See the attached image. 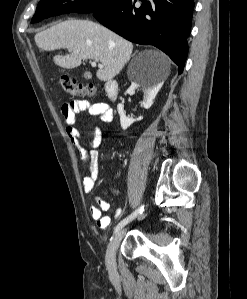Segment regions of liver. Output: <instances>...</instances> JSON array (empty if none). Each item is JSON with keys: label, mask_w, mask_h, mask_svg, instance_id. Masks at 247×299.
I'll list each match as a JSON object with an SVG mask.
<instances>
[{"label": "liver", "mask_w": 247, "mask_h": 299, "mask_svg": "<svg viewBox=\"0 0 247 299\" xmlns=\"http://www.w3.org/2000/svg\"><path fill=\"white\" fill-rule=\"evenodd\" d=\"M36 45L44 51L67 49L70 54L56 55L53 61L65 69L77 68L84 59H93L103 66L96 72L101 81L113 79L130 59L133 44L106 27L90 20H67L35 35ZM160 63L163 79L170 72L166 55L152 51Z\"/></svg>", "instance_id": "obj_1"}]
</instances>
